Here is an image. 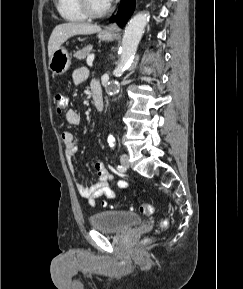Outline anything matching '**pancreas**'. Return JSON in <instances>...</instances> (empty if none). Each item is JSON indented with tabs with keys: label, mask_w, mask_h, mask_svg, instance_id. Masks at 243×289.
Listing matches in <instances>:
<instances>
[{
	"label": "pancreas",
	"mask_w": 243,
	"mask_h": 289,
	"mask_svg": "<svg viewBox=\"0 0 243 289\" xmlns=\"http://www.w3.org/2000/svg\"><path fill=\"white\" fill-rule=\"evenodd\" d=\"M92 51V46L88 45L87 47H84L81 50H78L77 52L74 53V57H76L77 59H85L86 56H88Z\"/></svg>",
	"instance_id": "1"
}]
</instances>
